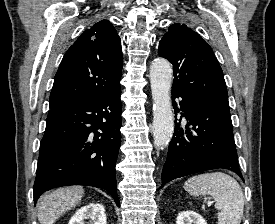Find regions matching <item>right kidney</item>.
I'll use <instances>...</instances> for the list:
<instances>
[{
  "label": "right kidney",
  "mask_w": 275,
  "mask_h": 224,
  "mask_svg": "<svg viewBox=\"0 0 275 224\" xmlns=\"http://www.w3.org/2000/svg\"><path fill=\"white\" fill-rule=\"evenodd\" d=\"M86 220L88 222H86ZM107 224L105 208L99 203H90L78 209L68 224Z\"/></svg>",
  "instance_id": "1"
}]
</instances>
